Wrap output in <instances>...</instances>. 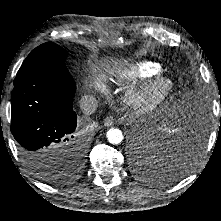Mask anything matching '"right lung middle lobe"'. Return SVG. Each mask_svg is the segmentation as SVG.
Returning a JSON list of instances; mask_svg holds the SVG:
<instances>
[{
	"instance_id": "right-lung-middle-lobe-1",
	"label": "right lung middle lobe",
	"mask_w": 221,
	"mask_h": 221,
	"mask_svg": "<svg viewBox=\"0 0 221 221\" xmlns=\"http://www.w3.org/2000/svg\"><path fill=\"white\" fill-rule=\"evenodd\" d=\"M67 51L55 43H44L28 55L23 62L14 80V85L22 82L31 75L48 69H56L65 66Z\"/></svg>"
}]
</instances>
